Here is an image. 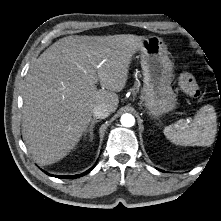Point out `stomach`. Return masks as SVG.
<instances>
[{"mask_svg":"<svg viewBox=\"0 0 221 221\" xmlns=\"http://www.w3.org/2000/svg\"><path fill=\"white\" fill-rule=\"evenodd\" d=\"M140 51L144 82L142 99L150 115L160 116L177 104L171 87L173 65L166 45L157 36L143 38Z\"/></svg>","mask_w":221,"mask_h":221,"instance_id":"0dacf381","label":"stomach"}]
</instances>
